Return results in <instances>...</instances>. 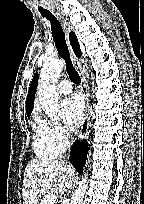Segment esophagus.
Instances as JSON below:
<instances>
[{
	"instance_id": "esophagus-1",
	"label": "esophagus",
	"mask_w": 144,
	"mask_h": 204,
	"mask_svg": "<svg viewBox=\"0 0 144 204\" xmlns=\"http://www.w3.org/2000/svg\"><path fill=\"white\" fill-rule=\"evenodd\" d=\"M59 17L69 45L68 36H69V33L72 31V27L62 16H59ZM69 49L71 52L73 64L81 78V91L83 93V98L85 100V116L83 118L81 131H80V138L83 140L87 138V135L89 132V125H90V100H89L88 82L82 70L80 59L74 54L70 45H69Z\"/></svg>"
}]
</instances>
